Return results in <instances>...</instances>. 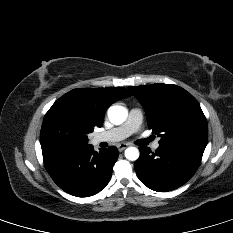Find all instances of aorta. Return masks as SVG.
Masks as SVG:
<instances>
[{
  "label": "aorta",
  "instance_id": "obj_1",
  "mask_svg": "<svg viewBox=\"0 0 233 233\" xmlns=\"http://www.w3.org/2000/svg\"><path fill=\"white\" fill-rule=\"evenodd\" d=\"M128 116V111L120 105H113L108 109L110 121L116 125L122 124ZM125 157L128 160L135 161L139 158V150L136 147H129L125 150Z\"/></svg>",
  "mask_w": 233,
  "mask_h": 233
}]
</instances>
